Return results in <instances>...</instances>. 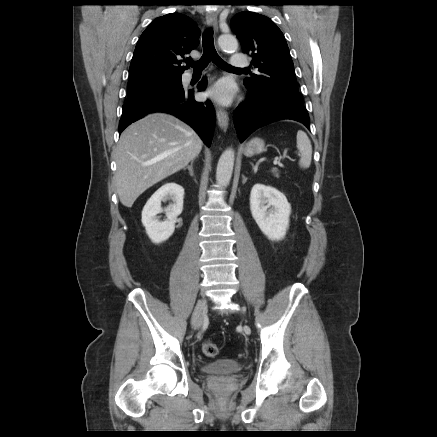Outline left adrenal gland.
<instances>
[{
    "label": "left adrenal gland",
    "mask_w": 437,
    "mask_h": 437,
    "mask_svg": "<svg viewBox=\"0 0 437 437\" xmlns=\"http://www.w3.org/2000/svg\"><path fill=\"white\" fill-rule=\"evenodd\" d=\"M242 184H245L246 183V181H247V178L244 176V175H242Z\"/></svg>",
    "instance_id": "obj_1"
}]
</instances>
